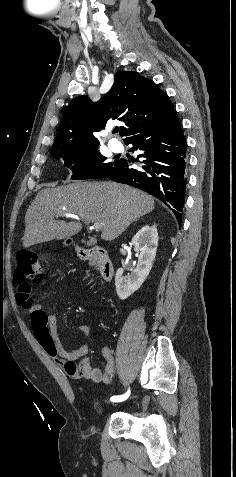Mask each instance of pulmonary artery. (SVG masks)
I'll return each instance as SVG.
<instances>
[{"instance_id": "obj_1", "label": "pulmonary artery", "mask_w": 236, "mask_h": 477, "mask_svg": "<svg viewBox=\"0 0 236 477\" xmlns=\"http://www.w3.org/2000/svg\"><path fill=\"white\" fill-rule=\"evenodd\" d=\"M108 144L110 148L114 151H119L121 148V143L115 139H110Z\"/></svg>"}]
</instances>
